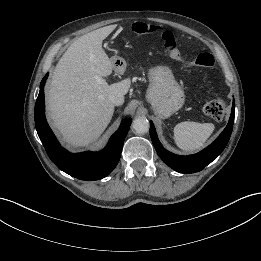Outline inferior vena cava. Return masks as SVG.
<instances>
[{
	"label": "inferior vena cava",
	"mask_w": 261,
	"mask_h": 261,
	"mask_svg": "<svg viewBox=\"0 0 261 261\" xmlns=\"http://www.w3.org/2000/svg\"><path fill=\"white\" fill-rule=\"evenodd\" d=\"M109 100L116 106L122 105L124 103V97L119 94L110 95Z\"/></svg>",
	"instance_id": "1"
}]
</instances>
